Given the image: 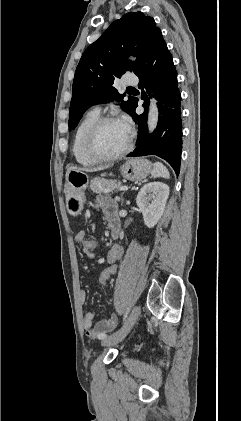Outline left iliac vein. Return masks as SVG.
<instances>
[{
    "label": "left iliac vein",
    "instance_id": "4c4485c4",
    "mask_svg": "<svg viewBox=\"0 0 241 421\" xmlns=\"http://www.w3.org/2000/svg\"><path fill=\"white\" fill-rule=\"evenodd\" d=\"M139 315H140V307L135 306L133 308V310L131 311L129 317L125 321L123 327L118 332H116L113 335L105 338L102 341V345L103 346H112V345H115V344L119 343L120 341H122L127 336V334L130 332L132 327L135 325Z\"/></svg>",
    "mask_w": 241,
    "mask_h": 421
}]
</instances>
